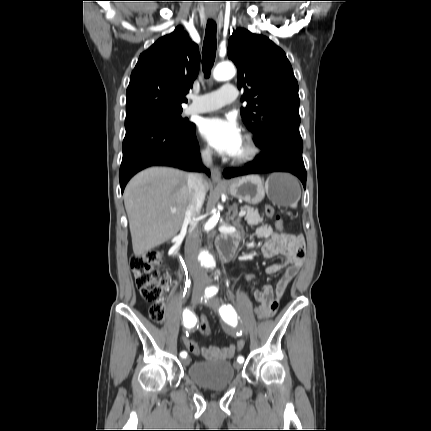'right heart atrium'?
Masks as SVG:
<instances>
[{
  "label": "right heart atrium",
  "mask_w": 431,
  "mask_h": 431,
  "mask_svg": "<svg viewBox=\"0 0 431 431\" xmlns=\"http://www.w3.org/2000/svg\"><path fill=\"white\" fill-rule=\"evenodd\" d=\"M202 154H203V156H204V157H208V156H209V151H208V149H204V150L202 151Z\"/></svg>",
  "instance_id": "1"
}]
</instances>
